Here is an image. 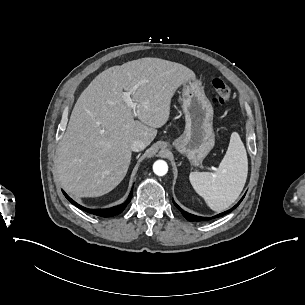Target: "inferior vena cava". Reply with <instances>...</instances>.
Masks as SVG:
<instances>
[{
	"label": "inferior vena cava",
	"mask_w": 305,
	"mask_h": 305,
	"mask_svg": "<svg viewBox=\"0 0 305 305\" xmlns=\"http://www.w3.org/2000/svg\"><path fill=\"white\" fill-rule=\"evenodd\" d=\"M146 146H147L146 143L139 139H135L130 142V148L133 151L143 150V149H145Z\"/></svg>",
	"instance_id": "1"
}]
</instances>
